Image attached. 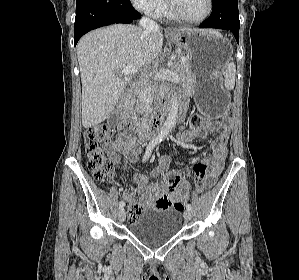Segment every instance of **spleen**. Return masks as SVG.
<instances>
[{"label":"spleen","instance_id":"3e777b00","mask_svg":"<svg viewBox=\"0 0 299 280\" xmlns=\"http://www.w3.org/2000/svg\"><path fill=\"white\" fill-rule=\"evenodd\" d=\"M236 66L234 62H229L225 72V88L232 90L235 86Z\"/></svg>","mask_w":299,"mask_h":280}]
</instances>
